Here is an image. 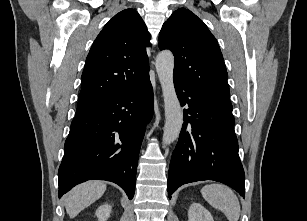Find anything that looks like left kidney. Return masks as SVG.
I'll use <instances>...</instances> for the list:
<instances>
[{
    "instance_id": "1",
    "label": "left kidney",
    "mask_w": 307,
    "mask_h": 221,
    "mask_svg": "<svg viewBox=\"0 0 307 221\" xmlns=\"http://www.w3.org/2000/svg\"><path fill=\"white\" fill-rule=\"evenodd\" d=\"M188 221H214L211 213L199 203H193L188 210Z\"/></svg>"
}]
</instances>
